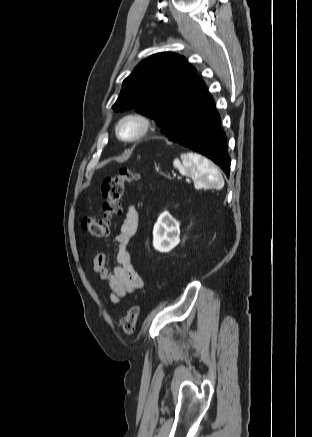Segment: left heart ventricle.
<instances>
[{"instance_id":"obj_1","label":"left heart ventricle","mask_w":312,"mask_h":437,"mask_svg":"<svg viewBox=\"0 0 312 437\" xmlns=\"http://www.w3.org/2000/svg\"><path fill=\"white\" fill-rule=\"evenodd\" d=\"M139 129L136 121H128L122 126V134L126 137L134 135Z\"/></svg>"}]
</instances>
